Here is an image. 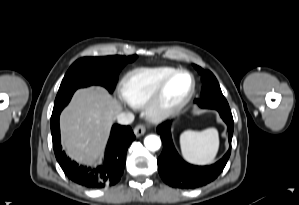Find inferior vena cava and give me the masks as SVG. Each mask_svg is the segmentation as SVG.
Wrapping results in <instances>:
<instances>
[{
	"instance_id": "602c4592",
	"label": "inferior vena cava",
	"mask_w": 299,
	"mask_h": 205,
	"mask_svg": "<svg viewBox=\"0 0 299 205\" xmlns=\"http://www.w3.org/2000/svg\"><path fill=\"white\" fill-rule=\"evenodd\" d=\"M116 120L119 124L128 125L134 121V114L131 112L120 113L116 116Z\"/></svg>"
}]
</instances>
